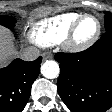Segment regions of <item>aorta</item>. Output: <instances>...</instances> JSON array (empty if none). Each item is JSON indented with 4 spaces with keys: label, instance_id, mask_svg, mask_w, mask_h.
<instances>
[{
    "label": "aorta",
    "instance_id": "obj_1",
    "mask_svg": "<svg viewBox=\"0 0 112 112\" xmlns=\"http://www.w3.org/2000/svg\"><path fill=\"white\" fill-rule=\"evenodd\" d=\"M41 73L45 78L54 79L60 73L59 65L54 60H47L41 66Z\"/></svg>",
    "mask_w": 112,
    "mask_h": 112
}]
</instances>
